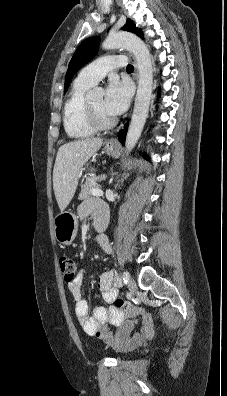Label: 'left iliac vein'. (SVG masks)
<instances>
[{"label": "left iliac vein", "instance_id": "obj_1", "mask_svg": "<svg viewBox=\"0 0 227 396\" xmlns=\"http://www.w3.org/2000/svg\"><path fill=\"white\" fill-rule=\"evenodd\" d=\"M128 288H129V290H130V292L132 294L135 293L137 285H136V282H135V280L133 278H129V280H128Z\"/></svg>", "mask_w": 227, "mask_h": 396}]
</instances>
